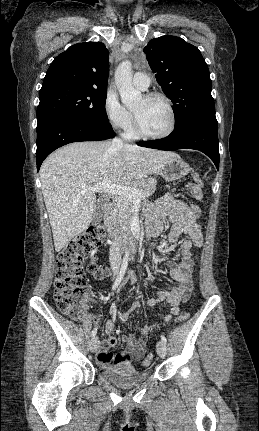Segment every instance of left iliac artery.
<instances>
[{
    "label": "left iliac artery",
    "mask_w": 259,
    "mask_h": 431,
    "mask_svg": "<svg viewBox=\"0 0 259 431\" xmlns=\"http://www.w3.org/2000/svg\"><path fill=\"white\" fill-rule=\"evenodd\" d=\"M161 340H162L164 343H166V342H167V339H166V337H165L164 335H161Z\"/></svg>",
    "instance_id": "left-iliac-artery-1"
}]
</instances>
